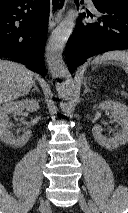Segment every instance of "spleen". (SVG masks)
Listing matches in <instances>:
<instances>
[{"label":"spleen","instance_id":"obj_1","mask_svg":"<svg viewBox=\"0 0 128 213\" xmlns=\"http://www.w3.org/2000/svg\"><path fill=\"white\" fill-rule=\"evenodd\" d=\"M106 61H119L123 64V69L128 73V51H109L103 55L97 56L94 60V65Z\"/></svg>","mask_w":128,"mask_h":213}]
</instances>
